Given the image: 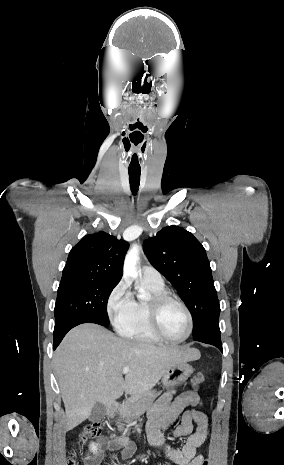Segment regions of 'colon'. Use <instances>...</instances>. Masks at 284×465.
I'll list each match as a JSON object with an SVG mask.
<instances>
[{
	"label": "colon",
	"mask_w": 284,
	"mask_h": 465,
	"mask_svg": "<svg viewBox=\"0 0 284 465\" xmlns=\"http://www.w3.org/2000/svg\"><path fill=\"white\" fill-rule=\"evenodd\" d=\"M205 381V376L202 372H197L195 373L193 377V383L195 386L202 384ZM101 432V427L100 426H90L85 428L84 430H81L79 432L78 438L82 440H87L92 437H96L99 435ZM68 465H79V460L76 455H73L71 460L68 462ZM200 465H209L208 462H201Z\"/></svg>",
	"instance_id": "1"
}]
</instances>
